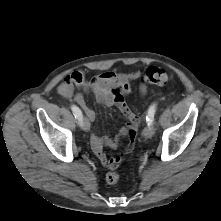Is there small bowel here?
Listing matches in <instances>:
<instances>
[{"instance_id":"1","label":"small bowel","mask_w":221,"mask_h":221,"mask_svg":"<svg viewBox=\"0 0 221 221\" xmlns=\"http://www.w3.org/2000/svg\"><path fill=\"white\" fill-rule=\"evenodd\" d=\"M139 77V71L131 73L107 71L93 76L90 79H86L83 72L75 71L64 78L58 88V92L65 98L74 99V101L84 110L87 119L94 122L96 119V113L87 105L83 94L79 92V90L82 89L84 92L93 93L97 102L100 104L113 106L117 105L115 102V95L119 88L125 83L130 86V83ZM139 92L143 96L146 95L148 92V86L145 83H141L139 85ZM136 117L137 116L130 111L129 116H126L128 120L127 125L121 128L115 137L102 135L97 131L92 132L90 135L91 149L104 166L109 167L108 161L112 158L107 155L105 148L116 149L120 139L127 135L128 129L133 124Z\"/></svg>"}]
</instances>
